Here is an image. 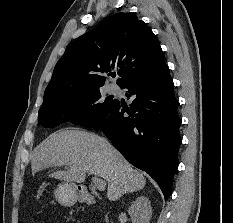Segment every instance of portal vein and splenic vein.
Wrapping results in <instances>:
<instances>
[{"mask_svg": "<svg viewBox=\"0 0 233 223\" xmlns=\"http://www.w3.org/2000/svg\"><path fill=\"white\" fill-rule=\"evenodd\" d=\"M91 181H93L98 189H104L106 187V181L105 179H101V177H91Z\"/></svg>", "mask_w": 233, "mask_h": 223, "instance_id": "obj_1", "label": "portal vein and splenic vein"}]
</instances>
